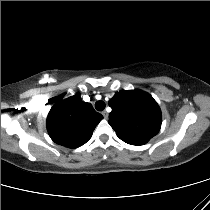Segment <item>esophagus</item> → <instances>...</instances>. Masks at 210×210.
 Listing matches in <instances>:
<instances>
[{"mask_svg": "<svg viewBox=\"0 0 210 210\" xmlns=\"http://www.w3.org/2000/svg\"><path fill=\"white\" fill-rule=\"evenodd\" d=\"M102 115H103V117H104L105 119L108 118V113H107L106 111H103V112H102Z\"/></svg>", "mask_w": 210, "mask_h": 210, "instance_id": "obj_1", "label": "esophagus"}]
</instances>
